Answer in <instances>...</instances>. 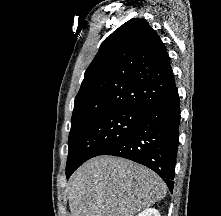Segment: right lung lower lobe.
<instances>
[{
    "instance_id": "obj_1",
    "label": "right lung lower lobe",
    "mask_w": 221,
    "mask_h": 216,
    "mask_svg": "<svg viewBox=\"0 0 221 216\" xmlns=\"http://www.w3.org/2000/svg\"><path fill=\"white\" fill-rule=\"evenodd\" d=\"M180 107L175 82L143 110L134 131L103 155L135 161L155 171L172 192L179 139ZM79 166L70 167L67 178Z\"/></svg>"
}]
</instances>
